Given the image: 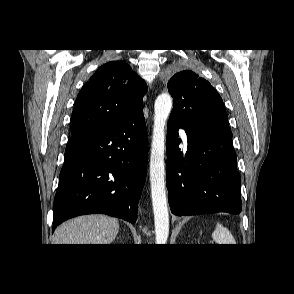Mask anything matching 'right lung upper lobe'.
Wrapping results in <instances>:
<instances>
[{"instance_id":"cb5924a9","label":"right lung upper lobe","mask_w":294,"mask_h":294,"mask_svg":"<svg viewBox=\"0 0 294 294\" xmlns=\"http://www.w3.org/2000/svg\"><path fill=\"white\" fill-rule=\"evenodd\" d=\"M146 83L123 61L101 66L80 90L71 135L115 125L143 108Z\"/></svg>"}]
</instances>
